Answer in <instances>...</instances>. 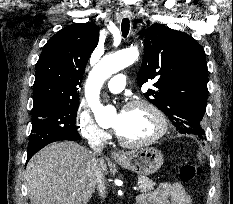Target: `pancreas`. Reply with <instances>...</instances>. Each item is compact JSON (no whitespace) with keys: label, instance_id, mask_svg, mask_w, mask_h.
Listing matches in <instances>:
<instances>
[{"label":"pancreas","instance_id":"cf45deb5","mask_svg":"<svg viewBox=\"0 0 233 204\" xmlns=\"http://www.w3.org/2000/svg\"><path fill=\"white\" fill-rule=\"evenodd\" d=\"M138 181L140 182V191L143 193L152 191L156 186V183L154 181L145 176H139Z\"/></svg>","mask_w":233,"mask_h":204}]
</instances>
